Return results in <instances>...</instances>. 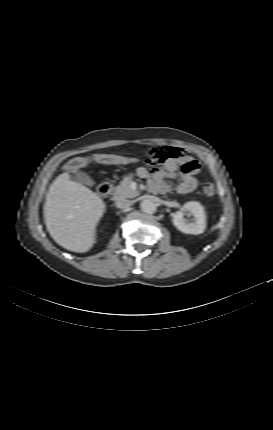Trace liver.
Returning <instances> with one entry per match:
<instances>
[{
	"instance_id": "obj_1",
	"label": "liver",
	"mask_w": 273,
	"mask_h": 430,
	"mask_svg": "<svg viewBox=\"0 0 273 430\" xmlns=\"http://www.w3.org/2000/svg\"><path fill=\"white\" fill-rule=\"evenodd\" d=\"M43 210L54 241L67 250L84 253L95 243V230L105 212V203L65 172L49 187Z\"/></svg>"
}]
</instances>
